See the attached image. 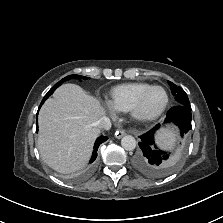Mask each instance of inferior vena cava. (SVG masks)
Here are the masks:
<instances>
[{
    "label": "inferior vena cava",
    "mask_w": 223,
    "mask_h": 223,
    "mask_svg": "<svg viewBox=\"0 0 223 223\" xmlns=\"http://www.w3.org/2000/svg\"><path fill=\"white\" fill-rule=\"evenodd\" d=\"M95 127L100 130H109L111 128V121L108 117H101L94 123Z\"/></svg>",
    "instance_id": "obj_1"
}]
</instances>
